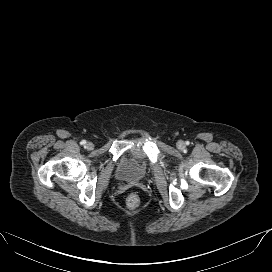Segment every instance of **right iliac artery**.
Segmentation results:
<instances>
[{
    "label": "right iliac artery",
    "mask_w": 272,
    "mask_h": 272,
    "mask_svg": "<svg viewBox=\"0 0 272 272\" xmlns=\"http://www.w3.org/2000/svg\"><path fill=\"white\" fill-rule=\"evenodd\" d=\"M80 144H81V145H85V144H86V141H85V140H82V141L80 142Z\"/></svg>",
    "instance_id": "1"
}]
</instances>
